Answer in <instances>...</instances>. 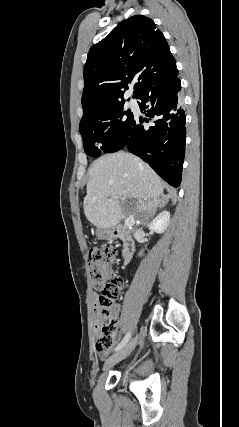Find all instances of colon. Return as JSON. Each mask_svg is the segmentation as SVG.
I'll use <instances>...</instances> for the list:
<instances>
[{
  "label": "colon",
  "instance_id": "5ec220e1",
  "mask_svg": "<svg viewBox=\"0 0 239 427\" xmlns=\"http://www.w3.org/2000/svg\"><path fill=\"white\" fill-rule=\"evenodd\" d=\"M116 250L109 245L95 248L89 254V271L93 286L101 292L95 304L96 350L107 352L113 345L116 330L114 302L123 285L114 266Z\"/></svg>",
  "mask_w": 239,
  "mask_h": 427
}]
</instances>
